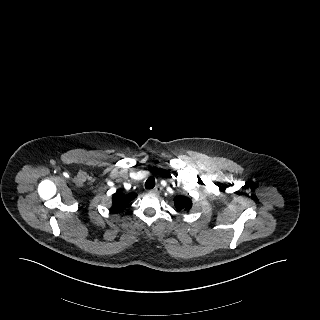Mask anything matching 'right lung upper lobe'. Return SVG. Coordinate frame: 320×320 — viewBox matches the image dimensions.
<instances>
[{
	"mask_svg": "<svg viewBox=\"0 0 320 320\" xmlns=\"http://www.w3.org/2000/svg\"><path fill=\"white\" fill-rule=\"evenodd\" d=\"M136 197L137 194L134 192L123 194L117 191L112 196V207L110 210L114 213L123 212V210L127 208L130 202L134 200Z\"/></svg>",
	"mask_w": 320,
	"mask_h": 320,
	"instance_id": "1",
	"label": "right lung upper lobe"
}]
</instances>
